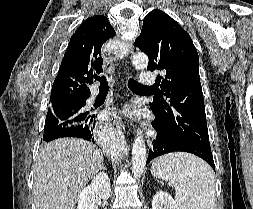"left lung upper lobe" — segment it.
Listing matches in <instances>:
<instances>
[{
  "label": "left lung upper lobe",
  "instance_id": "left-lung-upper-lobe-1",
  "mask_svg": "<svg viewBox=\"0 0 253 209\" xmlns=\"http://www.w3.org/2000/svg\"><path fill=\"white\" fill-rule=\"evenodd\" d=\"M135 46L147 54V70L161 71V90L150 103L154 121L166 134L210 148L199 57L189 34L166 13L153 10L145 16Z\"/></svg>",
  "mask_w": 253,
  "mask_h": 209
}]
</instances>
